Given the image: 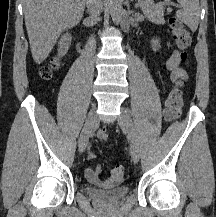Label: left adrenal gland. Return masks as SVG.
I'll use <instances>...</instances> for the list:
<instances>
[{
    "mask_svg": "<svg viewBox=\"0 0 216 217\" xmlns=\"http://www.w3.org/2000/svg\"><path fill=\"white\" fill-rule=\"evenodd\" d=\"M131 1H133V0H131ZM138 6L137 5H135V8H137Z\"/></svg>",
    "mask_w": 216,
    "mask_h": 217,
    "instance_id": "a2214340",
    "label": "left adrenal gland"
}]
</instances>
